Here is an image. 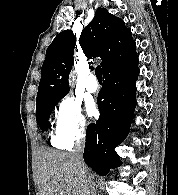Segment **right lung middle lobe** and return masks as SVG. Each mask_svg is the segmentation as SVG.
<instances>
[{"label": "right lung middle lobe", "mask_w": 178, "mask_h": 195, "mask_svg": "<svg viewBox=\"0 0 178 195\" xmlns=\"http://www.w3.org/2000/svg\"><path fill=\"white\" fill-rule=\"evenodd\" d=\"M59 100H50L46 101L39 106H36V119L38 125L40 126L42 131L48 130V119L56 104L60 101Z\"/></svg>", "instance_id": "obj_1"}]
</instances>
